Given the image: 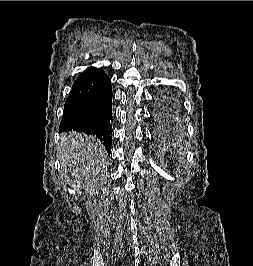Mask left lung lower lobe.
<instances>
[{"label":"left lung lower lobe","instance_id":"0a47b994","mask_svg":"<svg viewBox=\"0 0 253 266\" xmlns=\"http://www.w3.org/2000/svg\"><path fill=\"white\" fill-rule=\"evenodd\" d=\"M175 113L172 108H165L161 110L156 116V123L162 128L173 126Z\"/></svg>","mask_w":253,"mask_h":266}]
</instances>
